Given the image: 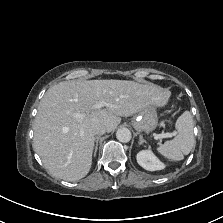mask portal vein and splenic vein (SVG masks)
Masks as SVG:
<instances>
[{"mask_svg":"<svg viewBox=\"0 0 223 223\" xmlns=\"http://www.w3.org/2000/svg\"><path fill=\"white\" fill-rule=\"evenodd\" d=\"M104 106H106V102H105L104 100H101V101L98 102L97 104L93 105V109H99V108H102V107H104ZM74 117H75V118H78V119H81V118H83V115L80 114V113H76V114L74 115ZM171 137H173V134H172V133H161V134H155V135H154V138H155L156 140H158V139H162V138H171Z\"/></svg>","mask_w":223,"mask_h":223,"instance_id":"1","label":"portal vein and splenic vein"}]
</instances>
